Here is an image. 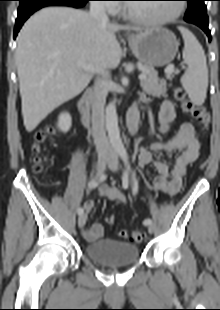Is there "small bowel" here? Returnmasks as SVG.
Listing matches in <instances>:
<instances>
[{"mask_svg": "<svg viewBox=\"0 0 220 310\" xmlns=\"http://www.w3.org/2000/svg\"><path fill=\"white\" fill-rule=\"evenodd\" d=\"M130 111L138 113V108L133 107ZM175 115L173 104L170 101H164L159 114L160 131L162 134H167L169 125L175 119ZM199 147L194 126L191 123L185 122L174 136L167 137L163 141L153 142L147 147H142L138 157L139 166L143 168L147 165H153L157 172L153 179V187L162 193L174 196L180 192L187 167L196 160ZM158 152H165L167 154L178 152L172 168L165 161L157 158L156 153ZM98 191L101 197L110 201H126L125 196L118 189L103 185L98 188ZM93 207V200H88L84 203L86 212H90ZM83 235L87 241H97L104 235V226L100 223H94L91 227L84 230Z\"/></svg>", "mask_w": 220, "mask_h": 310, "instance_id": "obj_1", "label": "small bowel"}]
</instances>
